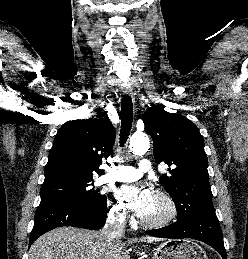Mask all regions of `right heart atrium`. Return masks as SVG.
<instances>
[{
    "instance_id": "obj_1",
    "label": "right heart atrium",
    "mask_w": 248,
    "mask_h": 259,
    "mask_svg": "<svg viewBox=\"0 0 248 259\" xmlns=\"http://www.w3.org/2000/svg\"><path fill=\"white\" fill-rule=\"evenodd\" d=\"M110 216L114 221L118 223L126 222L128 219V213L124 204L120 202H117L116 204H114L111 207Z\"/></svg>"
}]
</instances>
